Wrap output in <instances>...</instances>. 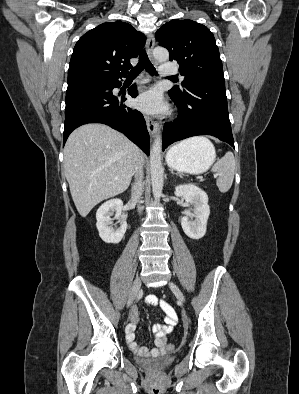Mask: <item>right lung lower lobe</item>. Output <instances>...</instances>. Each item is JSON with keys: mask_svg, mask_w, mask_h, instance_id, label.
I'll return each instance as SVG.
<instances>
[{"mask_svg": "<svg viewBox=\"0 0 299 394\" xmlns=\"http://www.w3.org/2000/svg\"><path fill=\"white\" fill-rule=\"evenodd\" d=\"M121 78V77H120ZM121 86L119 78L98 79L69 85L66 91L63 143L77 127L87 123H103L124 133L149 155L150 138L143 115L126 107L122 97L112 90ZM128 94L138 95L136 86Z\"/></svg>", "mask_w": 299, "mask_h": 394, "instance_id": "right-lung-lower-lobe-1", "label": "right lung lower lobe"}]
</instances>
